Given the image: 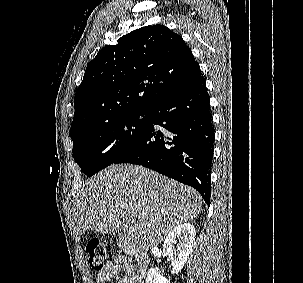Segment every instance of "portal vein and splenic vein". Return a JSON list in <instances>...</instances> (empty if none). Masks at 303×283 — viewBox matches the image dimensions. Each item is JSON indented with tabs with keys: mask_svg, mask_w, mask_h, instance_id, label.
<instances>
[{
	"mask_svg": "<svg viewBox=\"0 0 303 283\" xmlns=\"http://www.w3.org/2000/svg\"><path fill=\"white\" fill-rule=\"evenodd\" d=\"M126 222H127V223L131 222V219L128 218V217H126Z\"/></svg>",
	"mask_w": 303,
	"mask_h": 283,
	"instance_id": "portal-vein-and-splenic-vein-1",
	"label": "portal vein and splenic vein"
}]
</instances>
